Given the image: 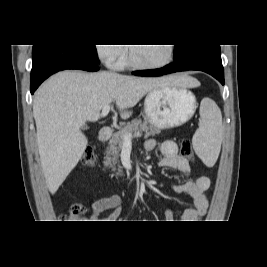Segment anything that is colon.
Returning <instances> with one entry per match:
<instances>
[{
    "label": "colon",
    "instance_id": "5ec220e1",
    "mask_svg": "<svg viewBox=\"0 0 267 267\" xmlns=\"http://www.w3.org/2000/svg\"><path fill=\"white\" fill-rule=\"evenodd\" d=\"M180 154L182 157L187 159H193V150L190 141L184 140L180 146ZM97 157L95 152L91 148L85 149L82 156V163L87 166H93L96 164ZM84 213V206L82 204H73L70 207L68 220L66 222H82V215Z\"/></svg>",
    "mask_w": 267,
    "mask_h": 267
}]
</instances>
